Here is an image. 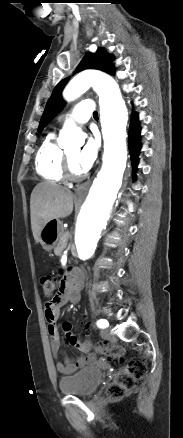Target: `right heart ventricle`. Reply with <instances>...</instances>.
Here are the masks:
<instances>
[{
	"mask_svg": "<svg viewBox=\"0 0 183 438\" xmlns=\"http://www.w3.org/2000/svg\"><path fill=\"white\" fill-rule=\"evenodd\" d=\"M64 152L55 142L53 134L47 136L42 142L36 155V170L45 180L62 182Z\"/></svg>",
	"mask_w": 183,
	"mask_h": 438,
	"instance_id": "right-heart-ventricle-1",
	"label": "right heart ventricle"
}]
</instances>
